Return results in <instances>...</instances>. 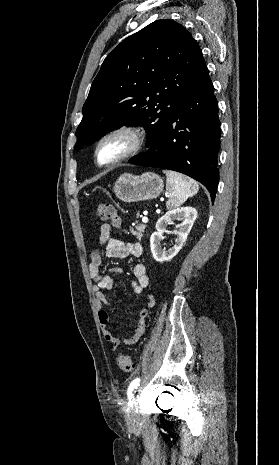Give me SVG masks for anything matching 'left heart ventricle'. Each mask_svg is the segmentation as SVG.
I'll list each match as a JSON object with an SVG mask.
<instances>
[{"label":"left heart ventricle","instance_id":"b2bd125f","mask_svg":"<svg viewBox=\"0 0 279 465\" xmlns=\"http://www.w3.org/2000/svg\"><path fill=\"white\" fill-rule=\"evenodd\" d=\"M130 146V139L126 135H115L106 140L100 148V159L103 162L113 160L123 154Z\"/></svg>","mask_w":279,"mask_h":465}]
</instances>
